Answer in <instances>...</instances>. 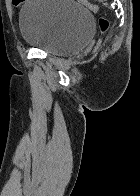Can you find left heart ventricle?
<instances>
[{"label":"left heart ventricle","instance_id":"left-heart-ventricle-1","mask_svg":"<svg viewBox=\"0 0 140 196\" xmlns=\"http://www.w3.org/2000/svg\"><path fill=\"white\" fill-rule=\"evenodd\" d=\"M45 192H57V191H45Z\"/></svg>","mask_w":140,"mask_h":196}]
</instances>
